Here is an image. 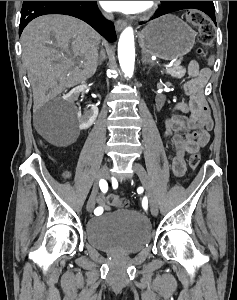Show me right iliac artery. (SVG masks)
<instances>
[{"label": "right iliac artery", "instance_id": "1", "mask_svg": "<svg viewBox=\"0 0 237 300\" xmlns=\"http://www.w3.org/2000/svg\"><path fill=\"white\" fill-rule=\"evenodd\" d=\"M99 186H100V189H101L102 192H104V193L107 192V190H108V184H107V182L104 179H101L99 181ZM96 211H103V209H102V207H97L94 210V212H96Z\"/></svg>", "mask_w": 237, "mask_h": 300}]
</instances>
